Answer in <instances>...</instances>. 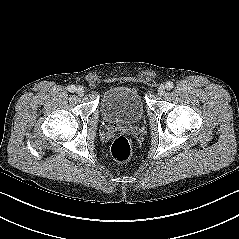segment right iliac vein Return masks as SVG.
<instances>
[{
  "label": "right iliac vein",
  "instance_id": "1",
  "mask_svg": "<svg viewBox=\"0 0 239 239\" xmlns=\"http://www.w3.org/2000/svg\"><path fill=\"white\" fill-rule=\"evenodd\" d=\"M76 93H77L78 95H83V94H84V88H83L82 86H78V87L76 88Z\"/></svg>",
  "mask_w": 239,
  "mask_h": 239
}]
</instances>
